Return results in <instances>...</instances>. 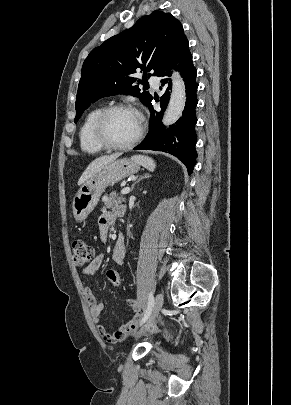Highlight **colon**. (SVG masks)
<instances>
[{"mask_svg": "<svg viewBox=\"0 0 291 405\" xmlns=\"http://www.w3.org/2000/svg\"><path fill=\"white\" fill-rule=\"evenodd\" d=\"M73 253V262L77 267H82L94 258V248L82 239H76L71 244ZM107 278L114 286L121 283V274L117 270H108Z\"/></svg>", "mask_w": 291, "mask_h": 405, "instance_id": "1", "label": "colon"}]
</instances>
